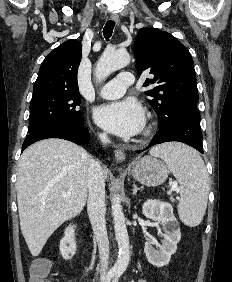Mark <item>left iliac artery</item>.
Here are the masks:
<instances>
[{
  "label": "left iliac artery",
  "mask_w": 232,
  "mask_h": 282,
  "mask_svg": "<svg viewBox=\"0 0 232 282\" xmlns=\"http://www.w3.org/2000/svg\"><path fill=\"white\" fill-rule=\"evenodd\" d=\"M120 275H121V273H117L115 278H114V280H113V282H118V279H119Z\"/></svg>",
  "instance_id": "1"
}]
</instances>
